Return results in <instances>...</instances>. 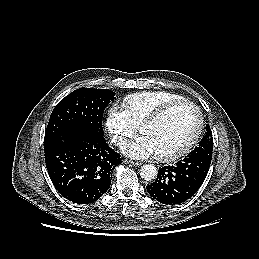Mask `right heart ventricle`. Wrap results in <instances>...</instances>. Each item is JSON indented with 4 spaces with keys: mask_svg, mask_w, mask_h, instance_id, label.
Masks as SVG:
<instances>
[{
    "mask_svg": "<svg viewBox=\"0 0 259 259\" xmlns=\"http://www.w3.org/2000/svg\"><path fill=\"white\" fill-rule=\"evenodd\" d=\"M182 99L185 98L167 91H145L125 97L124 104L133 123L138 125L162 106Z\"/></svg>",
    "mask_w": 259,
    "mask_h": 259,
    "instance_id": "right-heart-ventricle-1",
    "label": "right heart ventricle"
}]
</instances>
